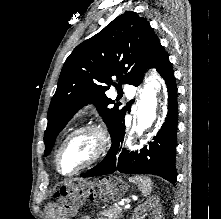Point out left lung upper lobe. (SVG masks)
<instances>
[{
	"mask_svg": "<svg viewBox=\"0 0 221 219\" xmlns=\"http://www.w3.org/2000/svg\"><path fill=\"white\" fill-rule=\"evenodd\" d=\"M159 46L150 24L131 11L79 44L63 65L48 109L44 156L51 152L56 136L76 111L88 103L95 104L112 137L126 108L109 99L105 92L110 85L121 92V82L138 86ZM112 76H117L119 86ZM111 104L114 106L110 107Z\"/></svg>",
	"mask_w": 221,
	"mask_h": 219,
	"instance_id": "5c2ea615",
	"label": "left lung upper lobe"
}]
</instances>
